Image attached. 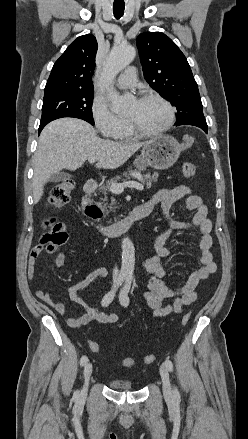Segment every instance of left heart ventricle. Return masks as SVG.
Masks as SVG:
<instances>
[{
    "label": "left heart ventricle",
    "mask_w": 248,
    "mask_h": 439,
    "mask_svg": "<svg viewBox=\"0 0 248 439\" xmlns=\"http://www.w3.org/2000/svg\"><path fill=\"white\" fill-rule=\"evenodd\" d=\"M169 117L167 107L159 100H135L126 115L145 130H156L163 127Z\"/></svg>",
    "instance_id": "1"
}]
</instances>
